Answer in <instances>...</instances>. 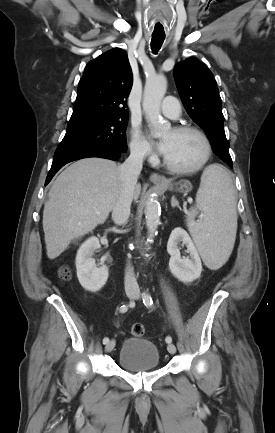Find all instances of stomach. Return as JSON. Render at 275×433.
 Segmentation results:
<instances>
[{
  "label": "stomach",
  "mask_w": 275,
  "mask_h": 433,
  "mask_svg": "<svg viewBox=\"0 0 275 433\" xmlns=\"http://www.w3.org/2000/svg\"><path fill=\"white\" fill-rule=\"evenodd\" d=\"M169 190H174L179 193H188L192 190V185L189 181L182 180L174 185H170L168 187H165Z\"/></svg>",
  "instance_id": "1"
}]
</instances>
